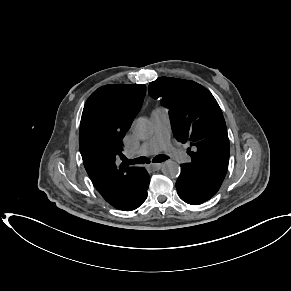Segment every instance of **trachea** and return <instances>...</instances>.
<instances>
[{"mask_svg": "<svg viewBox=\"0 0 291 291\" xmlns=\"http://www.w3.org/2000/svg\"><path fill=\"white\" fill-rule=\"evenodd\" d=\"M168 157L166 155H157L154 157L153 159V162L154 163H159V162H163L165 160H167ZM123 162L127 165L129 164H144V163H150V160L146 157H138V158H135L133 160H128L125 156L123 157Z\"/></svg>", "mask_w": 291, "mask_h": 291, "instance_id": "1", "label": "trachea"}]
</instances>
